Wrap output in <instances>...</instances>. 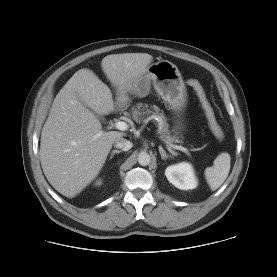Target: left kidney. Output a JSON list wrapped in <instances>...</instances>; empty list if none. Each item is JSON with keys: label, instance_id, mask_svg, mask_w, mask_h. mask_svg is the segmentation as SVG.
Instances as JSON below:
<instances>
[{"label": "left kidney", "instance_id": "left-kidney-1", "mask_svg": "<svg viewBox=\"0 0 277 277\" xmlns=\"http://www.w3.org/2000/svg\"><path fill=\"white\" fill-rule=\"evenodd\" d=\"M165 175L168 181L180 190L195 189L198 184L193 167L187 162L168 166Z\"/></svg>", "mask_w": 277, "mask_h": 277}]
</instances>
